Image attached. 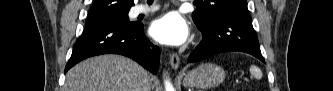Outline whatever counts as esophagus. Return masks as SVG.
I'll list each match as a JSON object with an SVG mask.
<instances>
[{"instance_id":"esophagus-1","label":"esophagus","mask_w":333,"mask_h":91,"mask_svg":"<svg viewBox=\"0 0 333 91\" xmlns=\"http://www.w3.org/2000/svg\"><path fill=\"white\" fill-rule=\"evenodd\" d=\"M170 64L173 69H177L180 65V58L176 53H172L170 56Z\"/></svg>"}]
</instances>
